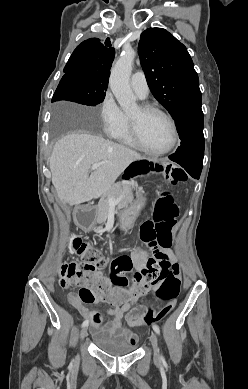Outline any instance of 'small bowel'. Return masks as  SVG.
<instances>
[{
    "instance_id": "1",
    "label": "small bowel",
    "mask_w": 248,
    "mask_h": 389,
    "mask_svg": "<svg viewBox=\"0 0 248 389\" xmlns=\"http://www.w3.org/2000/svg\"><path fill=\"white\" fill-rule=\"evenodd\" d=\"M163 253H165L170 260L171 263L176 262V256L170 249H163ZM148 256V252L141 246L136 247L131 253V259L133 266L136 270H141L145 266V262ZM108 284V283H107ZM109 286V285H108ZM125 286L117 287L122 292L131 293V289L128 291L124 290ZM137 298V297H136ZM136 298H130L128 301L121 304H112L103 299H96L94 302L90 303L93 306H101L103 304H110L114 306V309L106 308L107 311H111L113 314V318L111 321L105 323L103 325V331L107 334L118 335L124 334L130 337L131 341L135 344L138 342V336L134 333L131 328L139 327L143 325L142 315L144 313V306L138 305L133 307L136 302ZM68 302L74 306L81 315L88 321L91 322L92 325L97 328L99 325L93 323L92 317L94 312L86 306L76 292H70L67 296ZM124 321L127 323V326L124 325Z\"/></svg>"
}]
</instances>
